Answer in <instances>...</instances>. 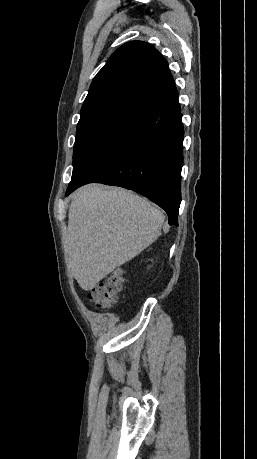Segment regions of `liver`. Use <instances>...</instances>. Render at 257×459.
<instances>
[{"label": "liver", "mask_w": 257, "mask_h": 459, "mask_svg": "<svg viewBox=\"0 0 257 459\" xmlns=\"http://www.w3.org/2000/svg\"><path fill=\"white\" fill-rule=\"evenodd\" d=\"M164 219L161 210L125 189H78L65 236L68 269L83 290H91L155 242Z\"/></svg>", "instance_id": "6515ba94"}]
</instances>
